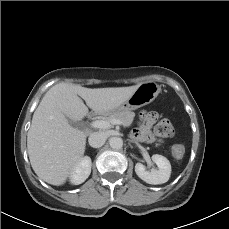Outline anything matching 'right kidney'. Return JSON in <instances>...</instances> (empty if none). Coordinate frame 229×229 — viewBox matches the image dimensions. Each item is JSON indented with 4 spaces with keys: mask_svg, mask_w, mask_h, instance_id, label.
Returning a JSON list of instances; mask_svg holds the SVG:
<instances>
[{
    "mask_svg": "<svg viewBox=\"0 0 229 229\" xmlns=\"http://www.w3.org/2000/svg\"><path fill=\"white\" fill-rule=\"evenodd\" d=\"M91 166V158L89 156L83 157L71 173L70 182L74 185L83 183L91 173Z\"/></svg>",
    "mask_w": 229,
    "mask_h": 229,
    "instance_id": "1",
    "label": "right kidney"
}]
</instances>
